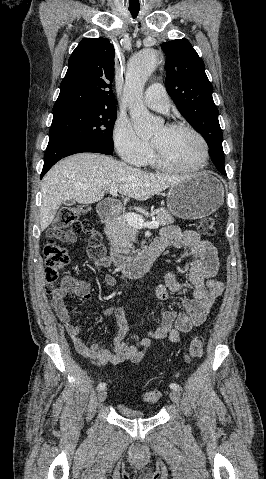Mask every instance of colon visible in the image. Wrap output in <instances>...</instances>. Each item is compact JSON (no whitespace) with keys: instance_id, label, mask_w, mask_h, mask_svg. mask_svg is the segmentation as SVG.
I'll return each mask as SVG.
<instances>
[{"instance_id":"obj_1","label":"colon","mask_w":266,"mask_h":479,"mask_svg":"<svg viewBox=\"0 0 266 479\" xmlns=\"http://www.w3.org/2000/svg\"><path fill=\"white\" fill-rule=\"evenodd\" d=\"M88 207L81 206H67L63 207L56 218L55 228L47 235L46 244L43 249L45 257V281L46 289L51 292L59 280V275L63 267L68 263V255L66 250L57 244L56 239L58 233L69 232L74 235H84L89 238L93 245H100V235L95 229L93 223L86 219H80V216L86 213ZM200 233L208 236H213L216 233L214 221L212 218H204L199 225ZM204 338L197 335L192 338L189 343L185 359L191 361L199 358L203 353ZM160 399V393L157 390H148L144 393V400L147 403L155 404Z\"/></svg>"}]
</instances>
